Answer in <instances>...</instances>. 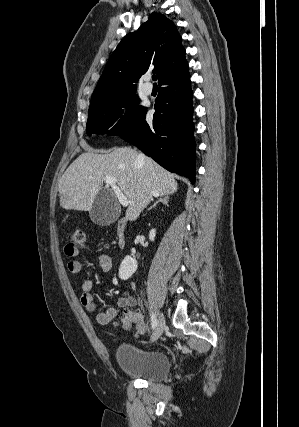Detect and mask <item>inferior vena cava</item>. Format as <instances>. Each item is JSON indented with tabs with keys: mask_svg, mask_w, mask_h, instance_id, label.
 <instances>
[{
	"mask_svg": "<svg viewBox=\"0 0 299 427\" xmlns=\"http://www.w3.org/2000/svg\"><path fill=\"white\" fill-rule=\"evenodd\" d=\"M138 158H139L140 160H143V159H144V155H143L142 153H140V154H139V156H138Z\"/></svg>",
	"mask_w": 299,
	"mask_h": 427,
	"instance_id": "1",
	"label": "inferior vena cava"
}]
</instances>
